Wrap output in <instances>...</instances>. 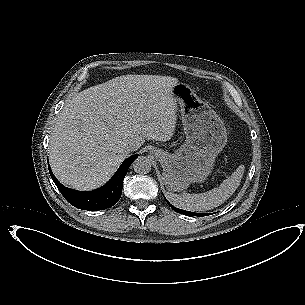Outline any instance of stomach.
<instances>
[{
    "instance_id": "0dacf381",
    "label": "stomach",
    "mask_w": 305,
    "mask_h": 305,
    "mask_svg": "<svg viewBox=\"0 0 305 305\" xmlns=\"http://www.w3.org/2000/svg\"><path fill=\"white\" fill-rule=\"evenodd\" d=\"M170 97L180 106L186 139L175 153L155 150V156L163 168L165 186L180 192L208 177L226 145L227 134L219 116L189 85L178 82L171 88Z\"/></svg>"
}]
</instances>
